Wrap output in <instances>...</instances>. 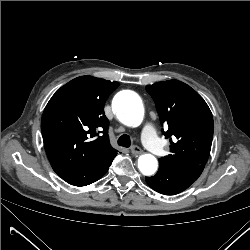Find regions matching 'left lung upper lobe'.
<instances>
[{"label": "left lung upper lobe", "mask_w": 250, "mask_h": 250, "mask_svg": "<svg viewBox=\"0 0 250 250\" xmlns=\"http://www.w3.org/2000/svg\"><path fill=\"white\" fill-rule=\"evenodd\" d=\"M146 89L156 103L161 123L166 125L167 131L163 134L170 138V154L159 159V165L204 168L214 130L212 113L206 102L178 80L158 82Z\"/></svg>", "instance_id": "obj_1"}]
</instances>
